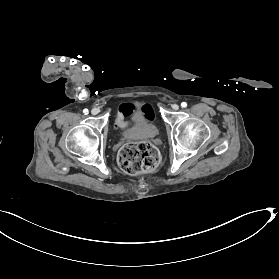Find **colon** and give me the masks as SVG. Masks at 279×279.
<instances>
[{"label": "colon", "mask_w": 279, "mask_h": 279, "mask_svg": "<svg viewBox=\"0 0 279 279\" xmlns=\"http://www.w3.org/2000/svg\"><path fill=\"white\" fill-rule=\"evenodd\" d=\"M118 162L127 174L138 175L155 169L158 164V153L148 142L129 143L119 151Z\"/></svg>", "instance_id": "obj_1"}]
</instances>
